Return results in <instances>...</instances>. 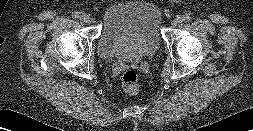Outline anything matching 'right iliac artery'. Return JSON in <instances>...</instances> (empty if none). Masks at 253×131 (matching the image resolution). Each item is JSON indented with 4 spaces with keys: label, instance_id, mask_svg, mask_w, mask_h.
I'll return each mask as SVG.
<instances>
[{
    "label": "right iliac artery",
    "instance_id": "82829eb1",
    "mask_svg": "<svg viewBox=\"0 0 253 131\" xmlns=\"http://www.w3.org/2000/svg\"><path fill=\"white\" fill-rule=\"evenodd\" d=\"M72 17L75 19L79 18L80 17L79 12H77V11L72 12Z\"/></svg>",
    "mask_w": 253,
    "mask_h": 131
}]
</instances>
